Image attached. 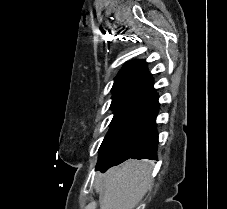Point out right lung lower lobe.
<instances>
[{
  "label": "right lung lower lobe",
  "instance_id": "1",
  "mask_svg": "<svg viewBox=\"0 0 227 209\" xmlns=\"http://www.w3.org/2000/svg\"><path fill=\"white\" fill-rule=\"evenodd\" d=\"M158 109L159 105L154 108L153 115L148 125L137 136L123 145L109 158L110 163L107 169L118 165L129 158L157 160L158 134L155 119ZM97 169L102 171L100 168Z\"/></svg>",
  "mask_w": 227,
  "mask_h": 209
}]
</instances>
